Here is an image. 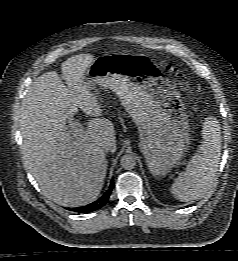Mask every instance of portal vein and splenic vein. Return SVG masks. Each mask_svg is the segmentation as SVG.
Segmentation results:
<instances>
[{"mask_svg": "<svg viewBox=\"0 0 238 261\" xmlns=\"http://www.w3.org/2000/svg\"><path fill=\"white\" fill-rule=\"evenodd\" d=\"M70 130L72 132H78V131H82L83 127L79 121H72L70 123Z\"/></svg>", "mask_w": 238, "mask_h": 261, "instance_id": "18ae733b", "label": "portal vein and splenic vein"}]
</instances>
